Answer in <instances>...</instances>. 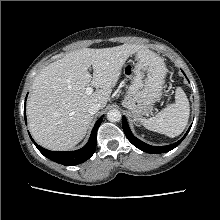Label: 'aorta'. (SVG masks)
I'll return each mask as SVG.
<instances>
[{
	"label": "aorta",
	"instance_id": "762f6f07",
	"mask_svg": "<svg viewBox=\"0 0 220 220\" xmlns=\"http://www.w3.org/2000/svg\"><path fill=\"white\" fill-rule=\"evenodd\" d=\"M121 113L119 110L117 109H113V110H110L108 113H107V119L111 122H118L121 120Z\"/></svg>",
	"mask_w": 220,
	"mask_h": 220
}]
</instances>
